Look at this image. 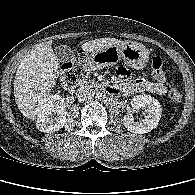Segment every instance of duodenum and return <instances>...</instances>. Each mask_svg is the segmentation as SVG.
Instances as JSON below:
<instances>
[{
  "instance_id": "obj_1",
  "label": "duodenum",
  "mask_w": 195,
  "mask_h": 195,
  "mask_svg": "<svg viewBox=\"0 0 195 195\" xmlns=\"http://www.w3.org/2000/svg\"><path fill=\"white\" fill-rule=\"evenodd\" d=\"M86 90V86L83 83H76L71 87V91L74 94H81ZM106 92H108L111 95H114L117 93V90L113 86H107L105 88Z\"/></svg>"
}]
</instances>
